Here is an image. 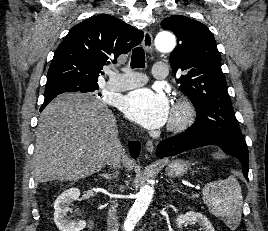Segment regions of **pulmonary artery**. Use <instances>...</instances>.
Masks as SVG:
<instances>
[{"mask_svg":"<svg viewBox=\"0 0 268 231\" xmlns=\"http://www.w3.org/2000/svg\"><path fill=\"white\" fill-rule=\"evenodd\" d=\"M152 74L156 79L164 80L168 74L167 64L164 62H155ZM144 83L143 73L128 71L125 74H117L112 72L106 88L110 92H124L139 87Z\"/></svg>","mask_w":268,"mask_h":231,"instance_id":"1","label":"pulmonary artery"}]
</instances>
